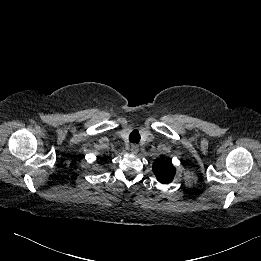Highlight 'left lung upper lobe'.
Masks as SVG:
<instances>
[{"label":"left lung upper lobe","mask_w":261,"mask_h":261,"mask_svg":"<svg viewBox=\"0 0 261 261\" xmlns=\"http://www.w3.org/2000/svg\"><path fill=\"white\" fill-rule=\"evenodd\" d=\"M152 169L159 182L167 184L173 180L175 167L171 161L165 160L164 157L155 160Z\"/></svg>","instance_id":"5c2ea615"}]
</instances>
